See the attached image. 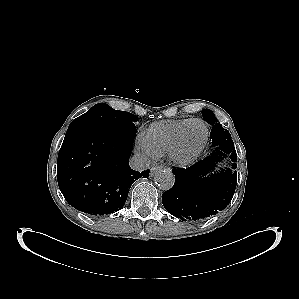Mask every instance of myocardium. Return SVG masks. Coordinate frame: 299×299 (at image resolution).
Instances as JSON below:
<instances>
[{"mask_svg": "<svg viewBox=\"0 0 299 299\" xmlns=\"http://www.w3.org/2000/svg\"><path fill=\"white\" fill-rule=\"evenodd\" d=\"M195 122L201 123L205 128V136H204L203 142L193 153L183 156L180 154V148L182 145L184 134H185L187 128L189 127V125H191L192 123H195ZM208 139H209V128H208V125L206 124V122L199 118L190 119L179 130L174 141L172 142L171 146L167 150L168 158L174 164H176L178 166H181V167L188 166V165L192 164L193 162H195L200 157V155L203 153L204 149L207 146Z\"/></svg>", "mask_w": 299, "mask_h": 299, "instance_id": "myocardium-1", "label": "myocardium"}]
</instances>
